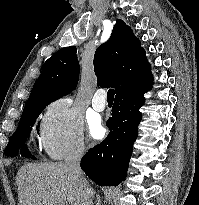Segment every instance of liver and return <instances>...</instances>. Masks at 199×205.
I'll return each instance as SVG.
<instances>
[{"mask_svg":"<svg viewBox=\"0 0 199 205\" xmlns=\"http://www.w3.org/2000/svg\"><path fill=\"white\" fill-rule=\"evenodd\" d=\"M16 183L20 188L19 205H93L62 162L24 164L17 172Z\"/></svg>","mask_w":199,"mask_h":205,"instance_id":"6515ba94","label":"liver"}]
</instances>
